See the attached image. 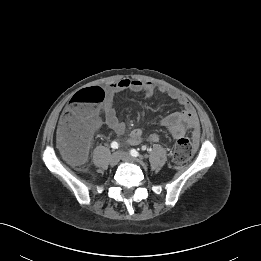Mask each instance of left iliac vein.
<instances>
[{"mask_svg":"<svg viewBox=\"0 0 261 261\" xmlns=\"http://www.w3.org/2000/svg\"><path fill=\"white\" fill-rule=\"evenodd\" d=\"M118 155H119V158L123 161H127V162H130V163H136L137 162V159L132 157L129 153L127 152H124V151H118L117 152Z\"/></svg>","mask_w":261,"mask_h":261,"instance_id":"obj_1","label":"left iliac vein"}]
</instances>
